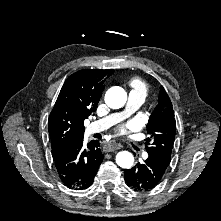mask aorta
<instances>
[{
    "instance_id": "762f6f07",
    "label": "aorta",
    "mask_w": 221,
    "mask_h": 221,
    "mask_svg": "<svg viewBox=\"0 0 221 221\" xmlns=\"http://www.w3.org/2000/svg\"><path fill=\"white\" fill-rule=\"evenodd\" d=\"M126 101L127 93L121 87H111L105 94V102L112 109L122 108ZM116 163L122 168L129 169L134 164V157L128 151H121L116 155Z\"/></svg>"
}]
</instances>
